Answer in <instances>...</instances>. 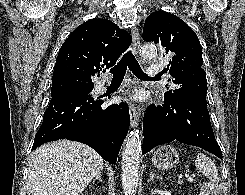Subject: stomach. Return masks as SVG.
<instances>
[{
    "label": "stomach",
    "instance_id": "0dacf381",
    "mask_svg": "<svg viewBox=\"0 0 245 195\" xmlns=\"http://www.w3.org/2000/svg\"><path fill=\"white\" fill-rule=\"evenodd\" d=\"M179 160L178 152L171 145L159 147L152 156V163L161 170L173 168Z\"/></svg>",
    "mask_w": 245,
    "mask_h": 195
}]
</instances>
